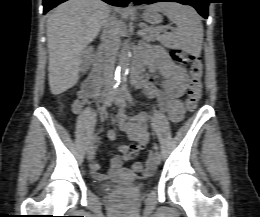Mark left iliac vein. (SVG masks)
Masks as SVG:
<instances>
[{"label": "left iliac vein", "instance_id": "4c4485c4", "mask_svg": "<svg viewBox=\"0 0 260 217\" xmlns=\"http://www.w3.org/2000/svg\"><path fill=\"white\" fill-rule=\"evenodd\" d=\"M125 100L126 97L124 96L121 90H117L114 95V102L119 107H125ZM160 153L158 151H154L150 155V164L151 165H158L160 163Z\"/></svg>", "mask_w": 260, "mask_h": 217}]
</instances>
